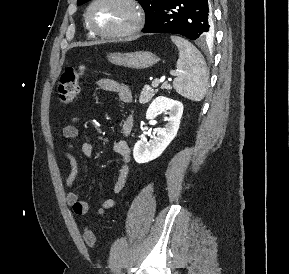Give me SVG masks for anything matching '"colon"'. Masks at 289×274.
Masks as SVG:
<instances>
[{
  "mask_svg": "<svg viewBox=\"0 0 289 274\" xmlns=\"http://www.w3.org/2000/svg\"><path fill=\"white\" fill-rule=\"evenodd\" d=\"M85 74V67L66 68L60 76L57 86V97L63 105H70L76 98L79 89L80 81ZM83 238L89 247H95L97 239L94 232L90 228H85Z\"/></svg>",
  "mask_w": 289,
  "mask_h": 274,
  "instance_id": "1",
  "label": "colon"
}]
</instances>
